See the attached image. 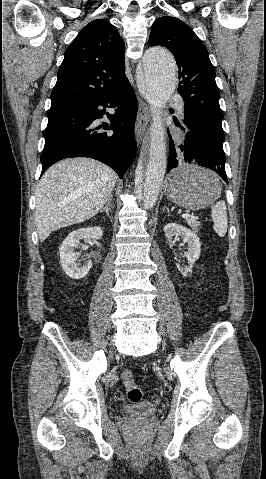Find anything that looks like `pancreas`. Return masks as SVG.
Listing matches in <instances>:
<instances>
[{
  "label": "pancreas",
  "mask_w": 266,
  "mask_h": 479,
  "mask_svg": "<svg viewBox=\"0 0 266 479\" xmlns=\"http://www.w3.org/2000/svg\"><path fill=\"white\" fill-rule=\"evenodd\" d=\"M187 224L196 232L199 230L200 222L197 221L195 218H187Z\"/></svg>",
  "instance_id": "pancreas-1"
}]
</instances>
